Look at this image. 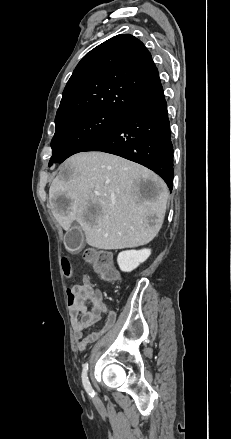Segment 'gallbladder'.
Returning <instances> with one entry per match:
<instances>
[{
  "label": "gallbladder",
  "instance_id": "gallbladder-1",
  "mask_svg": "<svg viewBox=\"0 0 231 439\" xmlns=\"http://www.w3.org/2000/svg\"><path fill=\"white\" fill-rule=\"evenodd\" d=\"M65 246L71 252H78L84 246V233L82 229L74 225L65 234Z\"/></svg>",
  "mask_w": 231,
  "mask_h": 439
}]
</instances>
